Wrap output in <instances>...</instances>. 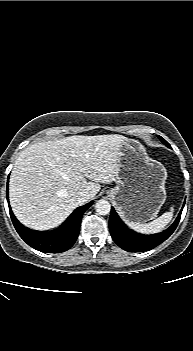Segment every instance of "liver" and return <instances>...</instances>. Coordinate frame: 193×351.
I'll return each mask as SVG.
<instances>
[{
    "label": "liver",
    "mask_w": 193,
    "mask_h": 351,
    "mask_svg": "<svg viewBox=\"0 0 193 351\" xmlns=\"http://www.w3.org/2000/svg\"><path fill=\"white\" fill-rule=\"evenodd\" d=\"M125 139L121 135H77L25 148L10 176L15 216L36 230L60 225L80 205L79 192L87 191L93 199L100 183L116 181L119 148Z\"/></svg>",
    "instance_id": "1"
}]
</instances>
